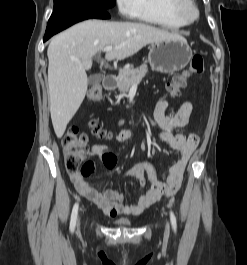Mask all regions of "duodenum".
<instances>
[{
	"label": "duodenum",
	"mask_w": 247,
	"mask_h": 265,
	"mask_svg": "<svg viewBox=\"0 0 247 265\" xmlns=\"http://www.w3.org/2000/svg\"><path fill=\"white\" fill-rule=\"evenodd\" d=\"M116 83L117 79L114 75L109 74L104 77L103 85L107 90L114 89Z\"/></svg>",
	"instance_id": "1"
}]
</instances>
